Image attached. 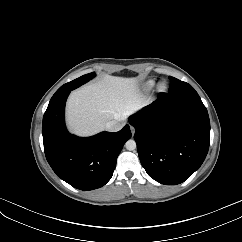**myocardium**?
I'll list each match as a JSON object with an SVG mask.
<instances>
[{
    "instance_id": "1",
    "label": "myocardium",
    "mask_w": 242,
    "mask_h": 242,
    "mask_svg": "<svg viewBox=\"0 0 242 242\" xmlns=\"http://www.w3.org/2000/svg\"><path fill=\"white\" fill-rule=\"evenodd\" d=\"M157 90L160 91V92H163L166 90V84L164 82H160L158 85H157Z\"/></svg>"
}]
</instances>
